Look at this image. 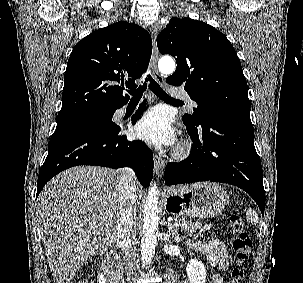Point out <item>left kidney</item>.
Returning <instances> with one entry per match:
<instances>
[{
    "label": "left kidney",
    "instance_id": "obj_1",
    "mask_svg": "<svg viewBox=\"0 0 303 283\" xmlns=\"http://www.w3.org/2000/svg\"><path fill=\"white\" fill-rule=\"evenodd\" d=\"M189 283H205L206 282V268L204 264L197 260L192 259L186 267Z\"/></svg>",
    "mask_w": 303,
    "mask_h": 283
}]
</instances>
